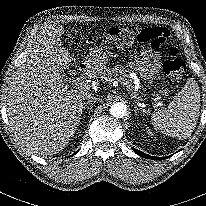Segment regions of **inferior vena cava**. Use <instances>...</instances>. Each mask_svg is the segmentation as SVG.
<instances>
[{"label": "inferior vena cava", "instance_id": "1", "mask_svg": "<svg viewBox=\"0 0 206 206\" xmlns=\"http://www.w3.org/2000/svg\"><path fill=\"white\" fill-rule=\"evenodd\" d=\"M83 98L88 99V101H92V102H100L101 101L92 92H85Z\"/></svg>", "mask_w": 206, "mask_h": 206}]
</instances>
